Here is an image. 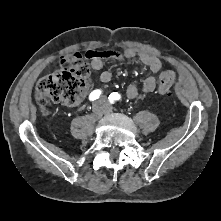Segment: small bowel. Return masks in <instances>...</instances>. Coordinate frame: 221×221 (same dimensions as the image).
Instances as JSON below:
<instances>
[{
	"label": "small bowel",
	"instance_id": "small-bowel-1",
	"mask_svg": "<svg viewBox=\"0 0 221 221\" xmlns=\"http://www.w3.org/2000/svg\"><path fill=\"white\" fill-rule=\"evenodd\" d=\"M86 55L88 56V59L91 60L92 68L96 71L103 69L107 59H114L120 62L134 58L139 59L142 65L151 72V75L144 80L140 90L134 84H130L127 87L126 96L129 99L136 98L140 92L151 93L156 88L157 75L162 67V64L161 61L153 55L144 52H137L134 49H127L123 53L115 50L88 51ZM111 78L112 74L108 70L101 71L99 74V79L101 82L107 83L111 80Z\"/></svg>",
	"mask_w": 221,
	"mask_h": 221
}]
</instances>
